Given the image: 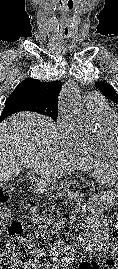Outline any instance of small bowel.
Returning <instances> with one entry per match:
<instances>
[{"mask_svg": "<svg viewBox=\"0 0 118 269\" xmlns=\"http://www.w3.org/2000/svg\"><path fill=\"white\" fill-rule=\"evenodd\" d=\"M118 192V186L116 187V193ZM110 204L109 202H107ZM109 205L95 203L91 207V216L85 222V234L83 237L78 239V242L84 246L91 247L102 251L106 255L108 269L112 267L115 269L118 267V242L110 246L108 243V228H109ZM69 259H61L56 264L52 265L47 269H57L68 265ZM93 262V261H92ZM93 262L90 263L88 269H92L94 266ZM73 269V268H68Z\"/></svg>", "mask_w": 118, "mask_h": 269, "instance_id": "small-bowel-1", "label": "small bowel"}]
</instances>
